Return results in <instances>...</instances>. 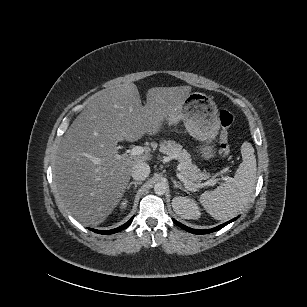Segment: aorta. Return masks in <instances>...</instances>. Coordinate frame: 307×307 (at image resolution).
<instances>
[{
    "label": "aorta",
    "instance_id": "1",
    "mask_svg": "<svg viewBox=\"0 0 307 307\" xmlns=\"http://www.w3.org/2000/svg\"><path fill=\"white\" fill-rule=\"evenodd\" d=\"M166 190H167V187L162 182L156 183L155 186H154V192L156 194H164L166 192Z\"/></svg>",
    "mask_w": 307,
    "mask_h": 307
}]
</instances>
